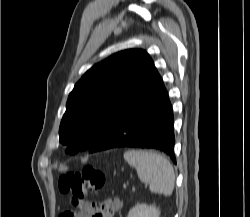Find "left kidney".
<instances>
[{
  "label": "left kidney",
  "mask_w": 250,
  "mask_h": 217,
  "mask_svg": "<svg viewBox=\"0 0 250 217\" xmlns=\"http://www.w3.org/2000/svg\"><path fill=\"white\" fill-rule=\"evenodd\" d=\"M160 211L155 206L146 204L135 205L128 213L127 217H159Z\"/></svg>",
  "instance_id": "1"
}]
</instances>
